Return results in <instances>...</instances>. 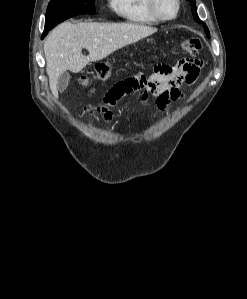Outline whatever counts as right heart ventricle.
I'll return each mask as SVG.
<instances>
[{
    "instance_id": "obj_1",
    "label": "right heart ventricle",
    "mask_w": 247,
    "mask_h": 299,
    "mask_svg": "<svg viewBox=\"0 0 247 299\" xmlns=\"http://www.w3.org/2000/svg\"><path fill=\"white\" fill-rule=\"evenodd\" d=\"M111 9L123 20L141 25L159 23L149 9L148 0H109Z\"/></svg>"
}]
</instances>
